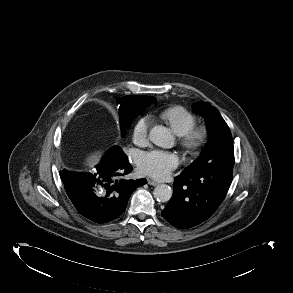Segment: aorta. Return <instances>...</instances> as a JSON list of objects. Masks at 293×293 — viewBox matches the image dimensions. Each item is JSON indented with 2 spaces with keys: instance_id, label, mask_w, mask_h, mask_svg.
Returning a JSON list of instances; mask_svg holds the SVG:
<instances>
[{
  "instance_id": "obj_1",
  "label": "aorta",
  "mask_w": 293,
  "mask_h": 293,
  "mask_svg": "<svg viewBox=\"0 0 293 293\" xmlns=\"http://www.w3.org/2000/svg\"><path fill=\"white\" fill-rule=\"evenodd\" d=\"M149 139L155 145L162 148H171L174 145V137L170 130L164 126H154L149 132ZM154 197L159 202H168L172 197V189L166 184L155 187Z\"/></svg>"
}]
</instances>
